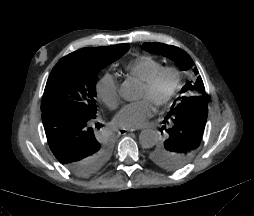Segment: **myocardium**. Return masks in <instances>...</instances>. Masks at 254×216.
<instances>
[{
	"instance_id": "f54148a6",
	"label": "myocardium",
	"mask_w": 254,
	"mask_h": 216,
	"mask_svg": "<svg viewBox=\"0 0 254 216\" xmlns=\"http://www.w3.org/2000/svg\"><path fill=\"white\" fill-rule=\"evenodd\" d=\"M169 77L170 85L167 92L161 97L154 100L157 106H163L171 101L174 97L180 82V72L174 66H165L153 73L148 80L143 82V87L146 90H152L163 77Z\"/></svg>"
}]
</instances>
